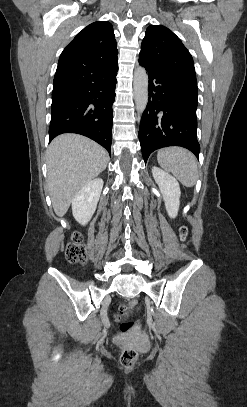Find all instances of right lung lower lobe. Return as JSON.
Here are the masks:
<instances>
[{"label":"right lung lower lobe","mask_w":247,"mask_h":407,"mask_svg":"<svg viewBox=\"0 0 247 407\" xmlns=\"http://www.w3.org/2000/svg\"><path fill=\"white\" fill-rule=\"evenodd\" d=\"M117 71L115 62L94 70L70 88L52 93L49 141L62 133H77L96 141L111 154Z\"/></svg>","instance_id":"obj_1"}]
</instances>
